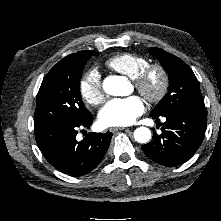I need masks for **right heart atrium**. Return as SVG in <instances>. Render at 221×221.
<instances>
[{
    "label": "right heart atrium",
    "instance_id": "right-heart-atrium-1",
    "mask_svg": "<svg viewBox=\"0 0 221 221\" xmlns=\"http://www.w3.org/2000/svg\"><path fill=\"white\" fill-rule=\"evenodd\" d=\"M79 91L82 99L89 105L96 106L103 102L105 92L101 77L96 69L88 70L80 80Z\"/></svg>",
    "mask_w": 221,
    "mask_h": 221
}]
</instances>
